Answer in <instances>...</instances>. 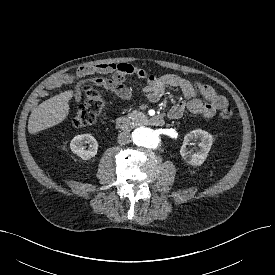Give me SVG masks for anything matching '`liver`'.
Wrapping results in <instances>:
<instances>
[{
  "mask_svg": "<svg viewBox=\"0 0 275 275\" xmlns=\"http://www.w3.org/2000/svg\"><path fill=\"white\" fill-rule=\"evenodd\" d=\"M73 95L74 92L72 90H67L35 107L28 121L29 133H38L62 123L69 115V101Z\"/></svg>",
  "mask_w": 275,
  "mask_h": 275,
  "instance_id": "liver-1",
  "label": "liver"
}]
</instances>
